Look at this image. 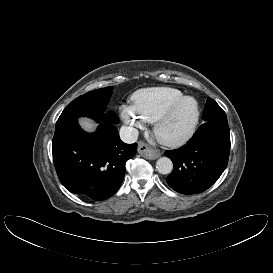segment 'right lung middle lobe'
Listing matches in <instances>:
<instances>
[{"mask_svg": "<svg viewBox=\"0 0 273 273\" xmlns=\"http://www.w3.org/2000/svg\"><path fill=\"white\" fill-rule=\"evenodd\" d=\"M112 91L113 87L110 86L96 89L77 97L63 110L57 120L56 126L77 120L81 116L93 118L97 122L116 123L117 117L115 114L110 113V115L106 116L103 113L112 95Z\"/></svg>", "mask_w": 273, "mask_h": 273, "instance_id": "1", "label": "right lung middle lobe"}]
</instances>
